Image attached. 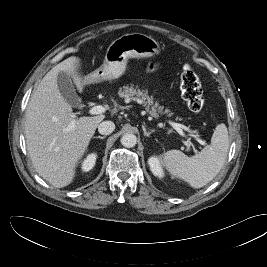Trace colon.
Here are the masks:
<instances>
[{
	"mask_svg": "<svg viewBox=\"0 0 267 267\" xmlns=\"http://www.w3.org/2000/svg\"><path fill=\"white\" fill-rule=\"evenodd\" d=\"M180 90L184 101L193 112H199L204 106V97L197 74L191 66L185 65L180 79Z\"/></svg>",
	"mask_w": 267,
	"mask_h": 267,
	"instance_id": "obj_1",
	"label": "colon"
}]
</instances>
